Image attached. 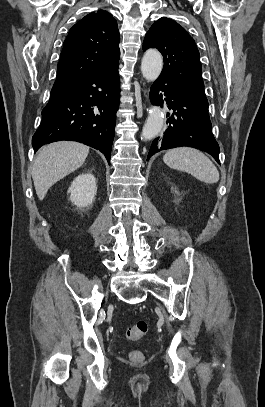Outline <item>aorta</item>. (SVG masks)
Returning <instances> with one entry per match:
<instances>
[{
	"mask_svg": "<svg viewBox=\"0 0 265 407\" xmlns=\"http://www.w3.org/2000/svg\"><path fill=\"white\" fill-rule=\"evenodd\" d=\"M162 67L163 58L157 50L145 52L141 62V71L146 80L155 81L161 74ZM163 123L164 115L162 109L158 106L151 107L142 130L141 138L145 141L155 138L161 131Z\"/></svg>",
	"mask_w": 265,
	"mask_h": 407,
	"instance_id": "762f6f07",
	"label": "aorta"
}]
</instances>
